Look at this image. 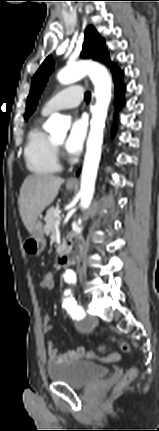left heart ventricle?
<instances>
[{
	"mask_svg": "<svg viewBox=\"0 0 159 431\" xmlns=\"http://www.w3.org/2000/svg\"><path fill=\"white\" fill-rule=\"evenodd\" d=\"M55 142L61 144L63 142V137L56 139Z\"/></svg>",
	"mask_w": 159,
	"mask_h": 431,
	"instance_id": "obj_1",
	"label": "left heart ventricle"
}]
</instances>
